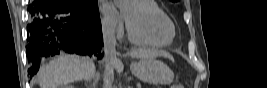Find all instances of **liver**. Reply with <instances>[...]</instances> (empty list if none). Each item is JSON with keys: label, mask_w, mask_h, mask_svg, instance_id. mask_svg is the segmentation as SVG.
<instances>
[{"label": "liver", "mask_w": 267, "mask_h": 88, "mask_svg": "<svg viewBox=\"0 0 267 88\" xmlns=\"http://www.w3.org/2000/svg\"><path fill=\"white\" fill-rule=\"evenodd\" d=\"M128 55L132 58L148 59L156 57H170L168 53L152 49H135ZM114 69L121 73L123 63L116 59ZM96 67L92 59L75 55H62L40 68L38 81L40 88H58L74 81L89 80L95 75Z\"/></svg>", "instance_id": "1"}]
</instances>
